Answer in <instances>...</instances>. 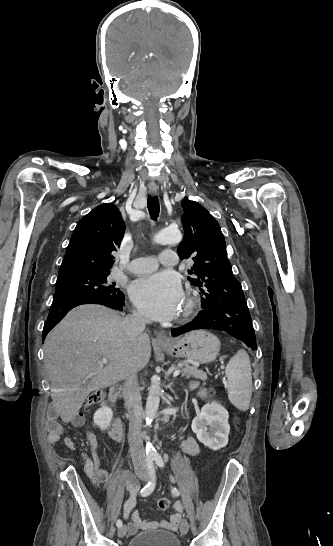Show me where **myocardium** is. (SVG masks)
Returning <instances> with one entry per match:
<instances>
[{
  "label": "myocardium",
  "instance_id": "myocardium-1",
  "mask_svg": "<svg viewBox=\"0 0 333 546\" xmlns=\"http://www.w3.org/2000/svg\"><path fill=\"white\" fill-rule=\"evenodd\" d=\"M197 308V300L191 294H187L184 300V307L178 316L179 322L188 320L195 312Z\"/></svg>",
  "mask_w": 333,
  "mask_h": 546
}]
</instances>
